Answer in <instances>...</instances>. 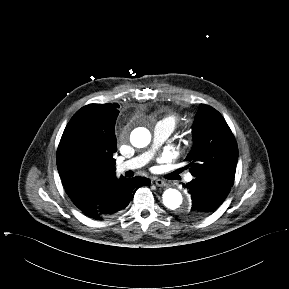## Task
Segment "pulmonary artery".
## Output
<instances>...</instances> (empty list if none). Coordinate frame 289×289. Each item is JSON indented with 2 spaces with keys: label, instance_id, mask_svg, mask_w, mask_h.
Listing matches in <instances>:
<instances>
[{
  "label": "pulmonary artery",
  "instance_id": "e3ab8cb5",
  "mask_svg": "<svg viewBox=\"0 0 289 289\" xmlns=\"http://www.w3.org/2000/svg\"><path fill=\"white\" fill-rule=\"evenodd\" d=\"M173 127L165 120L159 121L153 130V148L139 156H136L127 161L118 163L116 170L121 173L127 170L140 168L148 163L151 159L154 149L160 146L172 133ZM193 179L191 175H187L185 180L190 182Z\"/></svg>",
  "mask_w": 289,
  "mask_h": 289
}]
</instances>
